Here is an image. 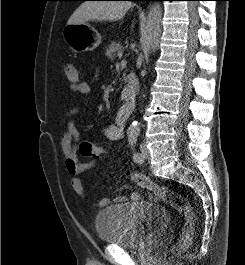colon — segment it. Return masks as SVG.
<instances>
[{
    "label": "colon",
    "instance_id": "1",
    "mask_svg": "<svg viewBox=\"0 0 245 265\" xmlns=\"http://www.w3.org/2000/svg\"><path fill=\"white\" fill-rule=\"evenodd\" d=\"M65 76L71 88L76 90L80 83V76L73 64H66ZM79 154L85 158L99 159L105 155V150L89 141H83L79 145ZM131 179L140 187L156 193L159 198L168 203L172 208L182 213L185 218V229L180 241L172 248L173 253L186 250L192 243L195 229V215L188 201L181 194L170 190L167 186L154 183L147 176L140 173H132Z\"/></svg>",
    "mask_w": 245,
    "mask_h": 265
}]
</instances>
